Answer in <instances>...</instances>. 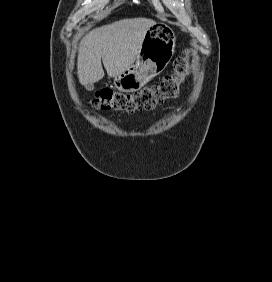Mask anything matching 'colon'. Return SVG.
I'll use <instances>...</instances> for the list:
<instances>
[{"label": "colon", "mask_w": 272, "mask_h": 282, "mask_svg": "<svg viewBox=\"0 0 272 282\" xmlns=\"http://www.w3.org/2000/svg\"><path fill=\"white\" fill-rule=\"evenodd\" d=\"M190 56L184 53L173 62V72L161 80L134 93L115 92L110 88L99 90L92 100L93 106L102 110H116L133 113L151 110L166 100L176 98L179 86L189 74Z\"/></svg>", "instance_id": "1"}]
</instances>
